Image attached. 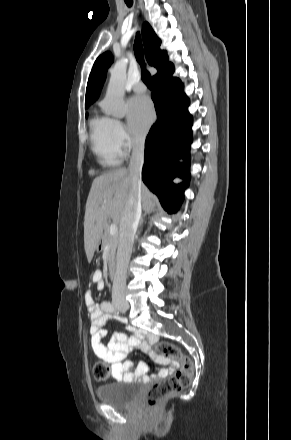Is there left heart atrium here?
I'll use <instances>...</instances> for the list:
<instances>
[{"label": "left heart atrium", "mask_w": 291, "mask_h": 440, "mask_svg": "<svg viewBox=\"0 0 291 440\" xmlns=\"http://www.w3.org/2000/svg\"><path fill=\"white\" fill-rule=\"evenodd\" d=\"M154 109L147 97L136 96L128 102L130 129L137 135L144 134L154 120Z\"/></svg>", "instance_id": "1"}]
</instances>
